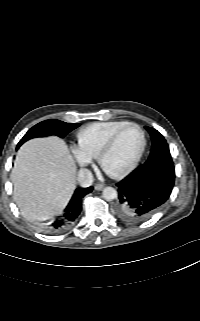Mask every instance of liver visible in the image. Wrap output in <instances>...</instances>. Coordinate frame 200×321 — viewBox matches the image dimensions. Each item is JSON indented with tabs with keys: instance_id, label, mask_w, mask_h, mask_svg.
Segmentation results:
<instances>
[{
	"instance_id": "liver-1",
	"label": "liver",
	"mask_w": 200,
	"mask_h": 321,
	"mask_svg": "<svg viewBox=\"0 0 200 321\" xmlns=\"http://www.w3.org/2000/svg\"><path fill=\"white\" fill-rule=\"evenodd\" d=\"M14 201L29 221L60 214L75 189L76 165L58 137L27 141L17 152L11 173Z\"/></svg>"
}]
</instances>
